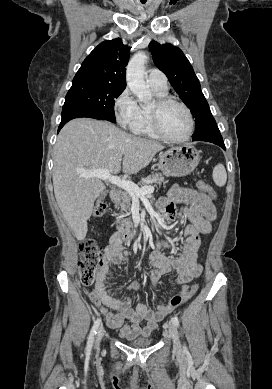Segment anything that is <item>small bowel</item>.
<instances>
[{"label":"small bowel","mask_w":272,"mask_h":389,"mask_svg":"<svg viewBox=\"0 0 272 389\" xmlns=\"http://www.w3.org/2000/svg\"><path fill=\"white\" fill-rule=\"evenodd\" d=\"M157 206L167 222L173 223L184 217L188 223L183 228L184 241L180 249L170 238L160 243L178 250L175 258L163 255L158 247L150 254L149 262L153 267L152 287L154 288L163 276L174 271L176 284L186 291L189 283L202 272L198 259L200 236L211 232L212 223L216 218L215 207L207 195L179 185H173L167 196L158 201ZM128 256L129 252L114 236L105 248L103 266L88 296L104 314L109 328L118 329L121 337L132 340L150 336L158 322L173 309L168 304H158L154 308L142 303L134 306L130 298H116L109 292L106 282L111 269L126 262ZM126 287L141 289L142 284L139 281H131Z\"/></svg>","instance_id":"1"}]
</instances>
